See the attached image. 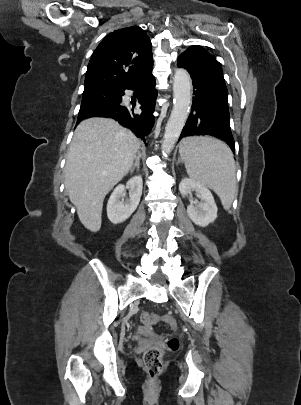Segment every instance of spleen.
Here are the masks:
<instances>
[{
    "label": "spleen",
    "instance_id": "3e777b00",
    "mask_svg": "<svg viewBox=\"0 0 301 405\" xmlns=\"http://www.w3.org/2000/svg\"><path fill=\"white\" fill-rule=\"evenodd\" d=\"M179 153L191 179L214 190L228 210L236 190L235 161L229 147L214 138L194 136L181 141Z\"/></svg>",
    "mask_w": 301,
    "mask_h": 405
}]
</instances>
